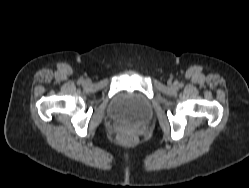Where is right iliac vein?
Segmentation results:
<instances>
[{"label":"right iliac vein","mask_w":249,"mask_h":188,"mask_svg":"<svg viewBox=\"0 0 249 188\" xmlns=\"http://www.w3.org/2000/svg\"><path fill=\"white\" fill-rule=\"evenodd\" d=\"M84 83H85V84H88V83H89V81H87V80H86Z\"/></svg>","instance_id":"obj_1"}]
</instances>
